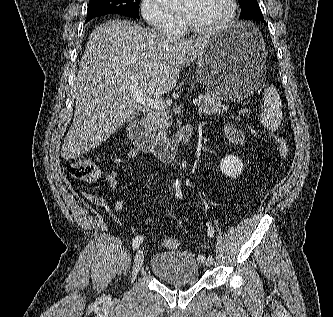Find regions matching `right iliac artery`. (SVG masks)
Here are the masks:
<instances>
[{"instance_id": "1", "label": "right iliac artery", "mask_w": 333, "mask_h": 317, "mask_svg": "<svg viewBox=\"0 0 333 317\" xmlns=\"http://www.w3.org/2000/svg\"><path fill=\"white\" fill-rule=\"evenodd\" d=\"M143 242V237L142 236H136L134 239H133V249L135 250L136 248H138L141 243Z\"/></svg>"}]
</instances>
